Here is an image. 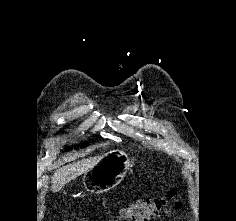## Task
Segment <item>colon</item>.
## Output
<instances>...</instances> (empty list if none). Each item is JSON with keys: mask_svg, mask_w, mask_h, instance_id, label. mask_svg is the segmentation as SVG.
I'll return each instance as SVG.
<instances>
[{"mask_svg": "<svg viewBox=\"0 0 236 221\" xmlns=\"http://www.w3.org/2000/svg\"><path fill=\"white\" fill-rule=\"evenodd\" d=\"M178 205L173 191L162 197L139 199L124 207L115 221H149L166 214L171 207Z\"/></svg>", "mask_w": 236, "mask_h": 221, "instance_id": "colon-1", "label": "colon"}]
</instances>
